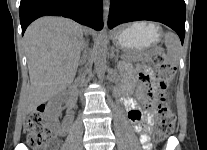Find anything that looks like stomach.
<instances>
[{
	"instance_id": "stomach-1",
	"label": "stomach",
	"mask_w": 207,
	"mask_h": 150,
	"mask_svg": "<svg viewBox=\"0 0 207 150\" xmlns=\"http://www.w3.org/2000/svg\"><path fill=\"white\" fill-rule=\"evenodd\" d=\"M160 37L159 24L139 21L118 30L114 36V43L124 52V56H128L148 51L152 45L159 41Z\"/></svg>"
}]
</instances>
